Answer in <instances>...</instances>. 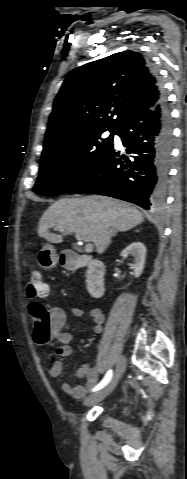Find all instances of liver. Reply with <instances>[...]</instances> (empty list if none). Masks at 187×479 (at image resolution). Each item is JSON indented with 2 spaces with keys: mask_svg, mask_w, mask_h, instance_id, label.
Instances as JSON below:
<instances>
[{
  "mask_svg": "<svg viewBox=\"0 0 187 479\" xmlns=\"http://www.w3.org/2000/svg\"><path fill=\"white\" fill-rule=\"evenodd\" d=\"M144 221L143 214L130 204L104 196L63 198L53 203L42 215L38 235L48 242L61 243L63 235L75 234L92 242L102 254L117 232L128 231ZM55 227L62 235L51 233Z\"/></svg>",
  "mask_w": 187,
  "mask_h": 479,
  "instance_id": "liver-1",
  "label": "liver"
}]
</instances>
